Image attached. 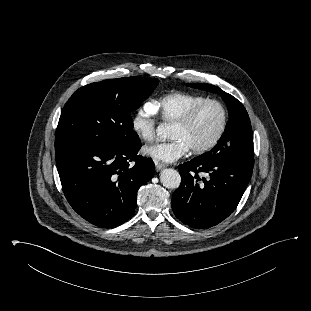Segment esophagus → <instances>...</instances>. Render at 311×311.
<instances>
[{
    "label": "esophagus",
    "instance_id": "1",
    "mask_svg": "<svg viewBox=\"0 0 311 311\" xmlns=\"http://www.w3.org/2000/svg\"><path fill=\"white\" fill-rule=\"evenodd\" d=\"M167 165L158 161H155L156 171H160L165 168Z\"/></svg>",
    "mask_w": 311,
    "mask_h": 311
}]
</instances>
